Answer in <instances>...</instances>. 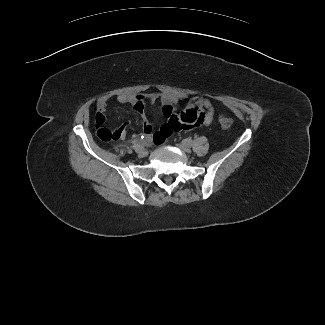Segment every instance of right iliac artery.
I'll use <instances>...</instances> for the list:
<instances>
[{"instance_id":"1","label":"right iliac artery","mask_w":325,"mask_h":325,"mask_svg":"<svg viewBox=\"0 0 325 325\" xmlns=\"http://www.w3.org/2000/svg\"><path fill=\"white\" fill-rule=\"evenodd\" d=\"M142 146L141 145H139L138 143H133V148L136 150V151H138L140 148H141Z\"/></svg>"}]
</instances>
